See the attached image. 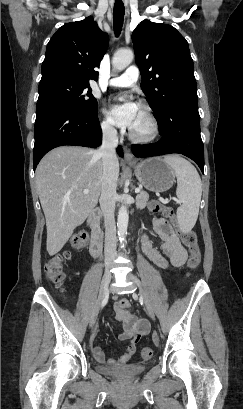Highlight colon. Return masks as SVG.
Listing matches in <instances>:
<instances>
[{"mask_svg":"<svg viewBox=\"0 0 243 409\" xmlns=\"http://www.w3.org/2000/svg\"><path fill=\"white\" fill-rule=\"evenodd\" d=\"M150 210L154 214H161L168 218L173 225L176 226L175 213L169 206L162 204L158 200L150 202ZM182 242L189 249L190 255L187 262V267L190 270H195L199 267L201 262V251L197 243V235L193 230H177ZM88 237L86 234L76 235L73 239V244L77 249H81L87 243ZM70 256L68 251H63L51 257L45 264L44 270L47 278L59 289H62L66 276L63 271V262ZM141 358L148 360L152 357L153 352L149 347H144L140 352Z\"/></svg>","mask_w":243,"mask_h":409,"instance_id":"5ec220e1","label":"colon"}]
</instances>
